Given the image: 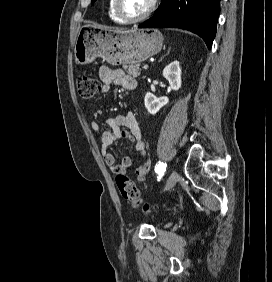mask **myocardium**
<instances>
[{
  "mask_svg": "<svg viewBox=\"0 0 272 282\" xmlns=\"http://www.w3.org/2000/svg\"><path fill=\"white\" fill-rule=\"evenodd\" d=\"M157 3H158V0H152L149 9L144 14L140 16H135V17L129 16L128 14H126L123 11L121 7V0H113V8L117 16L121 18L123 21L127 23H136V22H140L148 18L149 16H151L157 8Z\"/></svg>",
  "mask_w": 272,
  "mask_h": 282,
  "instance_id": "myocardium-1",
  "label": "myocardium"
}]
</instances>
